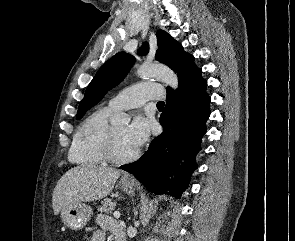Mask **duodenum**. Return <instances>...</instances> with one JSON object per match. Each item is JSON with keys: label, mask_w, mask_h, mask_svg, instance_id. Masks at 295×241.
<instances>
[{"label": "duodenum", "mask_w": 295, "mask_h": 241, "mask_svg": "<svg viewBox=\"0 0 295 241\" xmlns=\"http://www.w3.org/2000/svg\"><path fill=\"white\" fill-rule=\"evenodd\" d=\"M116 239L117 241H125L124 235H118Z\"/></svg>", "instance_id": "1"}]
</instances>
